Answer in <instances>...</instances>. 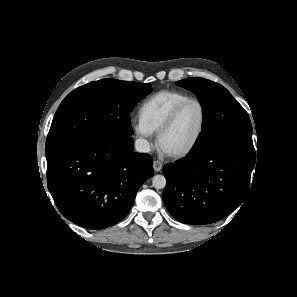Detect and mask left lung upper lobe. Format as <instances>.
<instances>
[{
    "instance_id": "1",
    "label": "left lung upper lobe",
    "mask_w": 297,
    "mask_h": 297,
    "mask_svg": "<svg viewBox=\"0 0 297 297\" xmlns=\"http://www.w3.org/2000/svg\"><path fill=\"white\" fill-rule=\"evenodd\" d=\"M176 85L193 92L204 113L203 131L191 153L215 146L255 152L250 118L226 88L199 77L177 81Z\"/></svg>"
}]
</instances>
